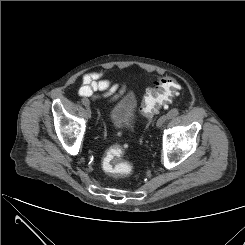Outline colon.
<instances>
[{
	"instance_id": "5ec220e1",
	"label": "colon",
	"mask_w": 245,
	"mask_h": 245,
	"mask_svg": "<svg viewBox=\"0 0 245 245\" xmlns=\"http://www.w3.org/2000/svg\"><path fill=\"white\" fill-rule=\"evenodd\" d=\"M178 85L173 78L164 77L148 89L141 105V113L152 119L159 109L167 106L177 93ZM124 149L121 146L111 148L104 156L101 166L103 171L114 177H125L132 171V165L121 161Z\"/></svg>"
}]
</instances>
